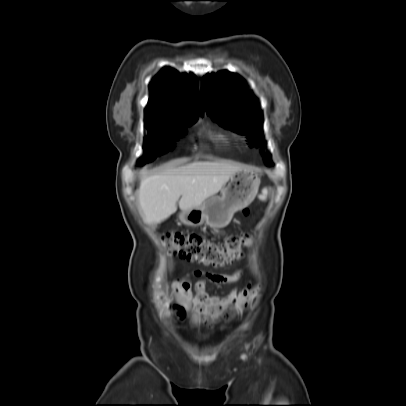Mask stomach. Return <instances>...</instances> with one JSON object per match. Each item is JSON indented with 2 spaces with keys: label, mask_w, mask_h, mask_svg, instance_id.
I'll return each mask as SVG.
<instances>
[{
  "label": "stomach",
  "mask_w": 406,
  "mask_h": 406,
  "mask_svg": "<svg viewBox=\"0 0 406 406\" xmlns=\"http://www.w3.org/2000/svg\"><path fill=\"white\" fill-rule=\"evenodd\" d=\"M260 178L255 172L241 169L224 184L221 196H211L198 207L182 211L180 221L188 226L206 222L212 228L226 227L234 213L247 207L257 195Z\"/></svg>",
  "instance_id": "stomach-1"
}]
</instances>
